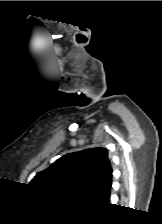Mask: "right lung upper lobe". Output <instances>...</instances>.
<instances>
[{
  "instance_id": "cb5924a9",
  "label": "right lung upper lobe",
  "mask_w": 162,
  "mask_h": 224,
  "mask_svg": "<svg viewBox=\"0 0 162 224\" xmlns=\"http://www.w3.org/2000/svg\"><path fill=\"white\" fill-rule=\"evenodd\" d=\"M30 184L40 190L78 196L91 205L107 203L112 185L107 150L92 148L64 155L37 173Z\"/></svg>"
}]
</instances>
